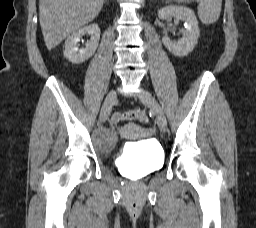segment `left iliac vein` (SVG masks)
I'll return each mask as SVG.
<instances>
[{"label": "left iliac vein", "instance_id": "obj_1", "mask_svg": "<svg viewBox=\"0 0 256 228\" xmlns=\"http://www.w3.org/2000/svg\"><path fill=\"white\" fill-rule=\"evenodd\" d=\"M138 97L143 104L148 106L154 112L158 127L162 132H165L167 129L166 116L163 109L161 108L159 103L156 101V99L147 90H142L138 94Z\"/></svg>", "mask_w": 256, "mask_h": 228}]
</instances>
